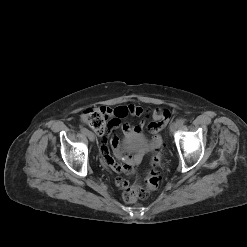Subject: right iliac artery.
Instances as JSON below:
<instances>
[{
    "label": "right iliac artery",
    "instance_id": "82829eb1",
    "mask_svg": "<svg viewBox=\"0 0 247 247\" xmlns=\"http://www.w3.org/2000/svg\"><path fill=\"white\" fill-rule=\"evenodd\" d=\"M81 132H82L83 134H86V135H87L88 130H87L86 128H81Z\"/></svg>",
    "mask_w": 247,
    "mask_h": 247
}]
</instances>
